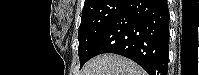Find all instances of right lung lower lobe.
<instances>
[{"label": "right lung lower lobe", "mask_w": 199, "mask_h": 75, "mask_svg": "<svg viewBox=\"0 0 199 75\" xmlns=\"http://www.w3.org/2000/svg\"><path fill=\"white\" fill-rule=\"evenodd\" d=\"M169 20L167 0H127L92 57L115 53L133 60L149 75H167Z\"/></svg>", "instance_id": "right-lung-lower-lobe-1"}]
</instances>
